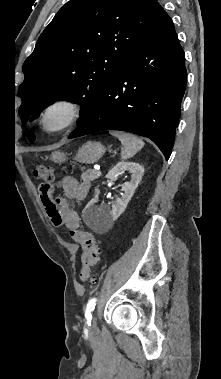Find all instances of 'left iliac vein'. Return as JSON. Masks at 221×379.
Returning <instances> with one entry per match:
<instances>
[{"label":"left iliac vein","instance_id":"4c4485c4","mask_svg":"<svg viewBox=\"0 0 221 379\" xmlns=\"http://www.w3.org/2000/svg\"><path fill=\"white\" fill-rule=\"evenodd\" d=\"M97 326H96V321L95 319L93 320V323H92V326H91V330H96Z\"/></svg>","mask_w":221,"mask_h":379}]
</instances>
